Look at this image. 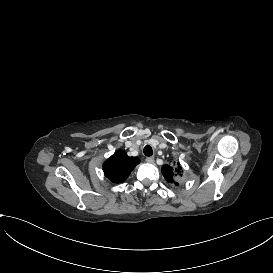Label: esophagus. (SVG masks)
I'll list each match as a JSON object with an SVG mask.
<instances>
[{
    "instance_id": "esophagus-1",
    "label": "esophagus",
    "mask_w": 273,
    "mask_h": 273,
    "mask_svg": "<svg viewBox=\"0 0 273 273\" xmlns=\"http://www.w3.org/2000/svg\"><path fill=\"white\" fill-rule=\"evenodd\" d=\"M145 161H146L147 163H154V157H153V156L147 157V158L145 159Z\"/></svg>"
}]
</instances>
